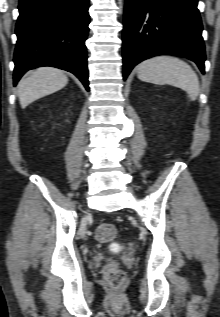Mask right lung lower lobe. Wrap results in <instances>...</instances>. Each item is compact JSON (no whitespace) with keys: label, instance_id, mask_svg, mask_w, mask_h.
<instances>
[{"label":"right lung lower lobe","instance_id":"1","mask_svg":"<svg viewBox=\"0 0 220 317\" xmlns=\"http://www.w3.org/2000/svg\"><path fill=\"white\" fill-rule=\"evenodd\" d=\"M88 8V0H20L14 85L29 69L53 66L75 74L89 91Z\"/></svg>","mask_w":220,"mask_h":317}]
</instances>
